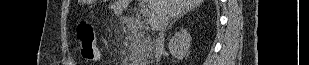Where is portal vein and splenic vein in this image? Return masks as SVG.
Wrapping results in <instances>:
<instances>
[{
    "instance_id": "1",
    "label": "portal vein and splenic vein",
    "mask_w": 309,
    "mask_h": 65,
    "mask_svg": "<svg viewBox=\"0 0 309 65\" xmlns=\"http://www.w3.org/2000/svg\"><path fill=\"white\" fill-rule=\"evenodd\" d=\"M141 13L143 15V17H148L150 11L149 9L145 6V4L142 2L141 4Z\"/></svg>"
}]
</instances>
